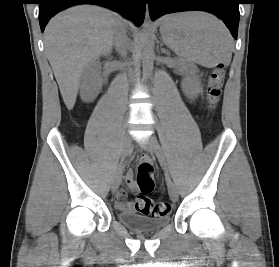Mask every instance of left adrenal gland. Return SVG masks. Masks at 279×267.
Segmentation results:
<instances>
[{"mask_svg": "<svg viewBox=\"0 0 279 267\" xmlns=\"http://www.w3.org/2000/svg\"><path fill=\"white\" fill-rule=\"evenodd\" d=\"M162 52L166 53L167 55H169V52L167 50H165V49H162Z\"/></svg>", "mask_w": 279, "mask_h": 267, "instance_id": "a2214340", "label": "left adrenal gland"}]
</instances>
